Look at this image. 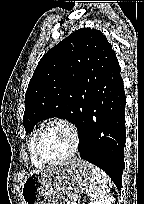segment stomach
Returning <instances> with one entry per match:
<instances>
[{
    "label": "stomach",
    "mask_w": 144,
    "mask_h": 204,
    "mask_svg": "<svg viewBox=\"0 0 144 204\" xmlns=\"http://www.w3.org/2000/svg\"><path fill=\"white\" fill-rule=\"evenodd\" d=\"M90 177V164L81 159L34 172L22 183L23 204L69 203L87 189Z\"/></svg>",
    "instance_id": "stomach-1"
}]
</instances>
